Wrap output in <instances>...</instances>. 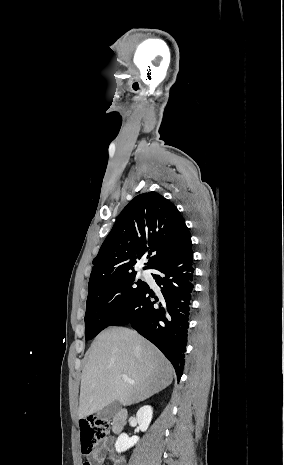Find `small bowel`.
<instances>
[{"instance_id": "c3829d8e", "label": "small bowel", "mask_w": 284, "mask_h": 465, "mask_svg": "<svg viewBox=\"0 0 284 465\" xmlns=\"http://www.w3.org/2000/svg\"><path fill=\"white\" fill-rule=\"evenodd\" d=\"M109 452H110V447H109L108 440H104L97 445V449L94 454V460L97 461V465H100V463L103 462L107 458V455L109 454ZM89 465H95V463L90 462ZM112 465H123V459L118 458V457H113Z\"/></svg>"}]
</instances>
